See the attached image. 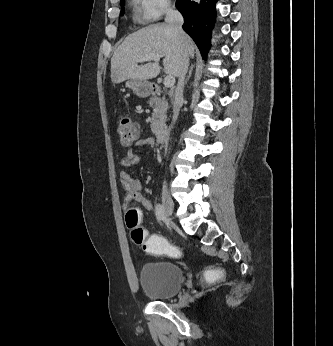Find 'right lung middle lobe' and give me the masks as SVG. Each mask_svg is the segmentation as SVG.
<instances>
[{
    "label": "right lung middle lobe",
    "instance_id": "dd1d6c3e",
    "mask_svg": "<svg viewBox=\"0 0 333 346\" xmlns=\"http://www.w3.org/2000/svg\"><path fill=\"white\" fill-rule=\"evenodd\" d=\"M121 6L123 7L124 6V0H121ZM124 13V9L121 10V14L123 15Z\"/></svg>",
    "mask_w": 333,
    "mask_h": 346
}]
</instances>
